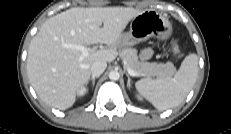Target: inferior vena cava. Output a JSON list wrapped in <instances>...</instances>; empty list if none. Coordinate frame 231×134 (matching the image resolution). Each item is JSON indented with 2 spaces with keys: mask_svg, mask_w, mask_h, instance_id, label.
Segmentation results:
<instances>
[{
  "mask_svg": "<svg viewBox=\"0 0 231 134\" xmlns=\"http://www.w3.org/2000/svg\"><path fill=\"white\" fill-rule=\"evenodd\" d=\"M107 64L104 61H96L91 65L92 76H100L106 69Z\"/></svg>",
  "mask_w": 231,
  "mask_h": 134,
  "instance_id": "obj_1",
  "label": "inferior vena cava"
}]
</instances>
